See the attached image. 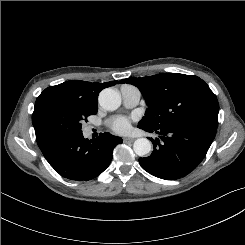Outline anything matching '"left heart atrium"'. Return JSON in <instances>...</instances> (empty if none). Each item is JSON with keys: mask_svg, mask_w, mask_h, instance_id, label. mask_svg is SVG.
Here are the masks:
<instances>
[{"mask_svg": "<svg viewBox=\"0 0 245 245\" xmlns=\"http://www.w3.org/2000/svg\"><path fill=\"white\" fill-rule=\"evenodd\" d=\"M109 127L118 134L128 133L130 130V119L125 116H119L109 122Z\"/></svg>", "mask_w": 245, "mask_h": 245, "instance_id": "obj_1", "label": "left heart atrium"}]
</instances>
